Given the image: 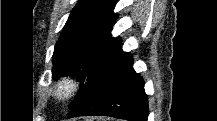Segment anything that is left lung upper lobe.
Masks as SVG:
<instances>
[{"instance_id": "1", "label": "left lung upper lobe", "mask_w": 217, "mask_h": 121, "mask_svg": "<svg viewBox=\"0 0 217 121\" xmlns=\"http://www.w3.org/2000/svg\"><path fill=\"white\" fill-rule=\"evenodd\" d=\"M116 0H79L73 8L53 53L52 78L70 75L80 88L68 111H74L85 89L121 45L113 38Z\"/></svg>"}]
</instances>
